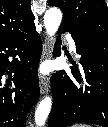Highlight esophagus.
I'll list each match as a JSON object with an SVG mask.
<instances>
[{
	"label": "esophagus",
	"instance_id": "34e87169",
	"mask_svg": "<svg viewBox=\"0 0 108 127\" xmlns=\"http://www.w3.org/2000/svg\"><path fill=\"white\" fill-rule=\"evenodd\" d=\"M52 46H53L52 40L46 37L42 51L43 60L51 56ZM39 86L41 94H47L49 92V78L47 76L41 75L39 79Z\"/></svg>",
	"mask_w": 108,
	"mask_h": 127
}]
</instances>
